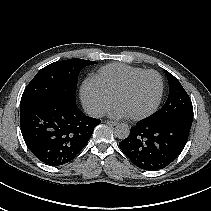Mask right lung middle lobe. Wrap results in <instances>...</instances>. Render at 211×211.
Segmentation results:
<instances>
[{
  "label": "right lung middle lobe",
  "mask_w": 211,
  "mask_h": 211,
  "mask_svg": "<svg viewBox=\"0 0 211 211\" xmlns=\"http://www.w3.org/2000/svg\"><path fill=\"white\" fill-rule=\"evenodd\" d=\"M96 63L74 58L57 61L42 68L26 86L20 109L48 101L76 103L75 92L79 72L84 67Z\"/></svg>",
  "instance_id": "right-lung-middle-lobe-1"
}]
</instances>
